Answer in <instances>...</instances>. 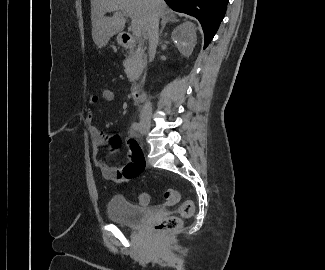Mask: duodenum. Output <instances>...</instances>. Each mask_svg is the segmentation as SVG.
Returning a JSON list of instances; mask_svg holds the SVG:
<instances>
[{"mask_svg":"<svg viewBox=\"0 0 325 270\" xmlns=\"http://www.w3.org/2000/svg\"><path fill=\"white\" fill-rule=\"evenodd\" d=\"M123 44L126 48H133L136 46L135 37L127 32H123L121 35ZM132 96L135 102L140 103L143 101V89L140 85H136L132 89Z\"/></svg>","mask_w":325,"mask_h":270,"instance_id":"duodenum-1","label":"duodenum"}]
</instances>
